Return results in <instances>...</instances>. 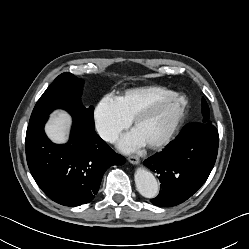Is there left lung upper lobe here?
I'll list each match as a JSON object with an SVG mask.
<instances>
[{"instance_id": "5c2ea615", "label": "left lung upper lobe", "mask_w": 249, "mask_h": 249, "mask_svg": "<svg viewBox=\"0 0 249 249\" xmlns=\"http://www.w3.org/2000/svg\"><path fill=\"white\" fill-rule=\"evenodd\" d=\"M202 115H203V123L211 122L209 119L210 111L208 104L204 98H202Z\"/></svg>"}]
</instances>
